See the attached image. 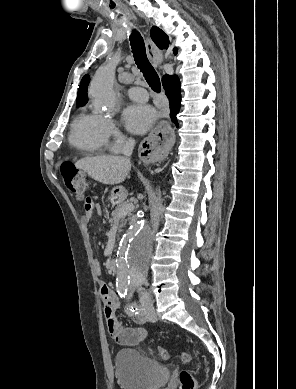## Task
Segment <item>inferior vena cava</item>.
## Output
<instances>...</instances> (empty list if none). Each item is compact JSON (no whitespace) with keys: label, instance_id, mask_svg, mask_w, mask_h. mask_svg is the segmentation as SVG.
Masks as SVG:
<instances>
[{"label":"inferior vena cava","instance_id":"1","mask_svg":"<svg viewBox=\"0 0 296 389\" xmlns=\"http://www.w3.org/2000/svg\"><path fill=\"white\" fill-rule=\"evenodd\" d=\"M134 145H135V141L133 139H128L124 145V148H123V154L129 159L130 155L132 154V151H133V148H134ZM147 294L144 293V292H141L140 293V300L141 301H145L147 300Z\"/></svg>","mask_w":296,"mask_h":389}]
</instances>
